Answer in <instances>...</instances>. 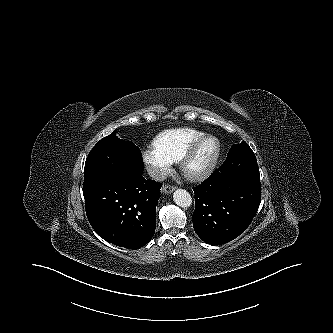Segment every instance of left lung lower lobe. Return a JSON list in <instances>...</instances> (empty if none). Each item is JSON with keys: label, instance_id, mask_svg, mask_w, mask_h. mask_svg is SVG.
<instances>
[{"label": "left lung lower lobe", "instance_id": "1", "mask_svg": "<svg viewBox=\"0 0 333 333\" xmlns=\"http://www.w3.org/2000/svg\"><path fill=\"white\" fill-rule=\"evenodd\" d=\"M229 166L223 163L193 188L194 231L208 244H225L238 237L252 222L261 202L260 180L235 174Z\"/></svg>", "mask_w": 333, "mask_h": 333}]
</instances>
